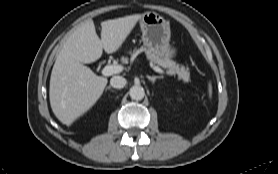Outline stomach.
Here are the masks:
<instances>
[{
	"instance_id": "stomach-1",
	"label": "stomach",
	"mask_w": 278,
	"mask_h": 174,
	"mask_svg": "<svg viewBox=\"0 0 278 174\" xmlns=\"http://www.w3.org/2000/svg\"><path fill=\"white\" fill-rule=\"evenodd\" d=\"M142 41L147 50L166 58H174L176 49L170 45V23L156 12L142 14Z\"/></svg>"
}]
</instances>
